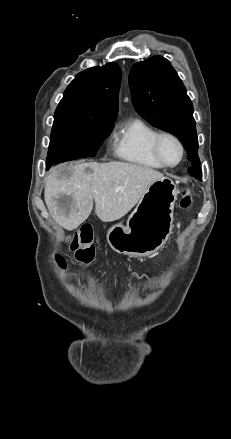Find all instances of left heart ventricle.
I'll return each instance as SVG.
<instances>
[{
    "instance_id": "1",
    "label": "left heart ventricle",
    "mask_w": 231,
    "mask_h": 439,
    "mask_svg": "<svg viewBox=\"0 0 231 439\" xmlns=\"http://www.w3.org/2000/svg\"><path fill=\"white\" fill-rule=\"evenodd\" d=\"M161 154L169 164H175L180 158V149L171 138H163L160 144Z\"/></svg>"
}]
</instances>
